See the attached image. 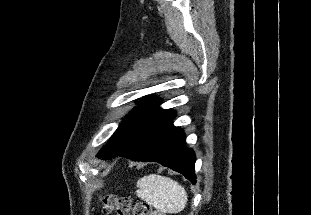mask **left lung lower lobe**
Listing matches in <instances>:
<instances>
[{
	"label": "left lung lower lobe",
	"instance_id": "obj_1",
	"mask_svg": "<svg viewBox=\"0 0 311 215\" xmlns=\"http://www.w3.org/2000/svg\"><path fill=\"white\" fill-rule=\"evenodd\" d=\"M174 117L173 110H161L147 122L131 144L114 157L158 162L183 174L195 184V154L192 149L186 148L185 134L173 125Z\"/></svg>",
	"mask_w": 311,
	"mask_h": 215
}]
</instances>
